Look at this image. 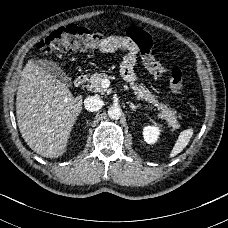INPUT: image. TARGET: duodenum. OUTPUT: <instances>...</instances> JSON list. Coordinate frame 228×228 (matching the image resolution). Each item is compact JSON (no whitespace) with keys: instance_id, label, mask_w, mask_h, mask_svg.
<instances>
[{"instance_id":"duodenum-1","label":"duodenum","mask_w":228,"mask_h":228,"mask_svg":"<svg viewBox=\"0 0 228 228\" xmlns=\"http://www.w3.org/2000/svg\"><path fill=\"white\" fill-rule=\"evenodd\" d=\"M85 76L83 74L78 75L75 79H74V86L79 88L82 87L85 83Z\"/></svg>"}]
</instances>
